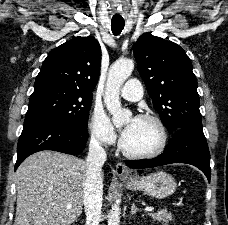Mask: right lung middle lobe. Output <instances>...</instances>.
I'll return each instance as SVG.
<instances>
[{
  "label": "right lung middle lobe",
  "instance_id": "obj_1",
  "mask_svg": "<svg viewBox=\"0 0 228 225\" xmlns=\"http://www.w3.org/2000/svg\"><path fill=\"white\" fill-rule=\"evenodd\" d=\"M92 97V93L63 84L35 85L25 120L54 117L87 128Z\"/></svg>",
  "mask_w": 228,
  "mask_h": 225
}]
</instances>
